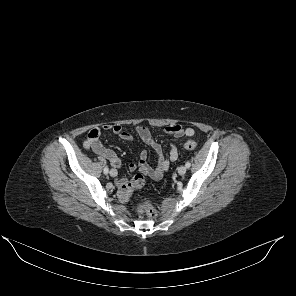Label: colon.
<instances>
[{"instance_id": "1", "label": "colon", "mask_w": 296, "mask_h": 296, "mask_svg": "<svg viewBox=\"0 0 296 296\" xmlns=\"http://www.w3.org/2000/svg\"><path fill=\"white\" fill-rule=\"evenodd\" d=\"M197 147L195 141L189 140L184 143V148L187 150H193ZM145 179L142 173H139L133 177L131 181H128L121 185L118 191V197L122 202H127L131 196L132 191L135 188L142 187ZM135 211L138 214L146 215L147 217H154L157 214L156 208L149 202L143 201L135 207Z\"/></svg>"}]
</instances>
